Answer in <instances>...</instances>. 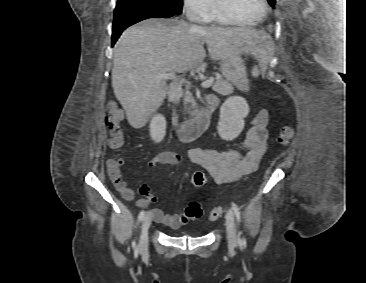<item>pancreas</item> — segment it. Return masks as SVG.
<instances>
[{"mask_svg":"<svg viewBox=\"0 0 366 283\" xmlns=\"http://www.w3.org/2000/svg\"><path fill=\"white\" fill-rule=\"evenodd\" d=\"M213 91L217 92L218 94H221L223 96L229 95L233 93V85L228 82L227 80L218 78L212 87ZM184 102L191 103L192 107L194 108L196 106L195 101L192 97V94L189 92L185 93L184 96Z\"/></svg>","mask_w":366,"mask_h":283,"instance_id":"cf45deb5","label":"pancreas"}]
</instances>
